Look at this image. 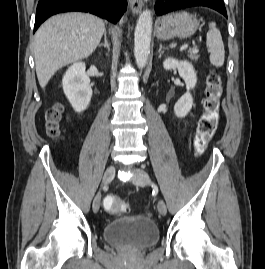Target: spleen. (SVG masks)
<instances>
[{
    "label": "spleen",
    "instance_id": "spleen-1",
    "mask_svg": "<svg viewBox=\"0 0 265 269\" xmlns=\"http://www.w3.org/2000/svg\"><path fill=\"white\" fill-rule=\"evenodd\" d=\"M210 30L207 33L206 45L210 52V63L215 67H221L224 64L225 50L222 41L221 33L216 28V24L211 22L209 24Z\"/></svg>",
    "mask_w": 265,
    "mask_h": 269
}]
</instances>
